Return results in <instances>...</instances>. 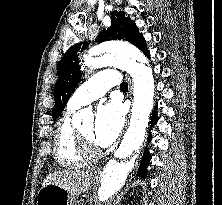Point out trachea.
I'll return each instance as SVG.
<instances>
[{
  "label": "trachea",
  "instance_id": "obj_1",
  "mask_svg": "<svg viewBox=\"0 0 222 205\" xmlns=\"http://www.w3.org/2000/svg\"><path fill=\"white\" fill-rule=\"evenodd\" d=\"M121 90H128V83L123 82V83L121 84Z\"/></svg>",
  "mask_w": 222,
  "mask_h": 205
}]
</instances>
